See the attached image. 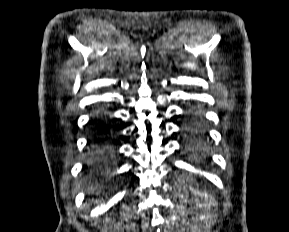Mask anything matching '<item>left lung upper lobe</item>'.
Here are the masks:
<instances>
[{"mask_svg": "<svg viewBox=\"0 0 289 232\" xmlns=\"http://www.w3.org/2000/svg\"><path fill=\"white\" fill-rule=\"evenodd\" d=\"M187 134L190 135L195 146L200 144V138L205 135V128L202 124L198 122L189 121L186 125Z\"/></svg>", "mask_w": 289, "mask_h": 232, "instance_id": "1", "label": "left lung upper lobe"}]
</instances>
